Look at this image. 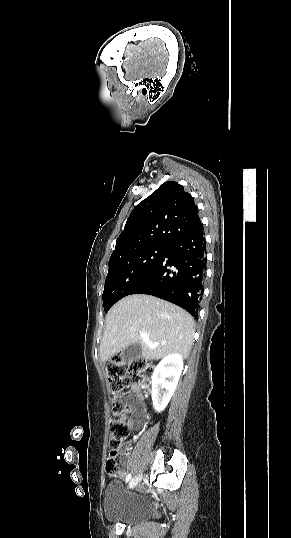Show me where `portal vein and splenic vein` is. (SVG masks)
<instances>
[{
    "mask_svg": "<svg viewBox=\"0 0 291 538\" xmlns=\"http://www.w3.org/2000/svg\"><path fill=\"white\" fill-rule=\"evenodd\" d=\"M140 337L145 340L147 343H149L148 335L145 332L140 333Z\"/></svg>",
    "mask_w": 291,
    "mask_h": 538,
    "instance_id": "portal-vein-and-splenic-vein-1",
    "label": "portal vein and splenic vein"
}]
</instances>
